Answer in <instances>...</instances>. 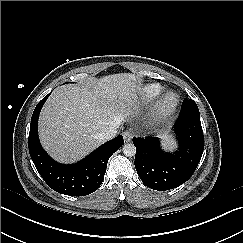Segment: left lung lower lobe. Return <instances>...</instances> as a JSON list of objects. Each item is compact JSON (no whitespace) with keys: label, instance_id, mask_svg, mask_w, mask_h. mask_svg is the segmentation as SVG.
Segmentation results:
<instances>
[{"label":"left lung lower lobe","instance_id":"obj_1","mask_svg":"<svg viewBox=\"0 0 243 243\" xmlns=\"http://www.w3.org/2000/svg\"><path fill=\"white\" fill-rule=\"evenodd\" d=\"M174 130L179 143L175 153L161 150L157 137L133 138L135 168L151 189L166 191L180 186L193 175L201 159L204 136L197 105H182Z\"/></svg>","mask_w":243,"mask_h":243}]
</instances>
